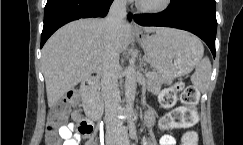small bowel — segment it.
Instances as JSON below:
<instances>
[{
	"label": "small bowel",
	"mask_w": 243,
	"mask_h": 145,
	"mask_svg": "<svg viewBox=\"0 0 243 145\" xmlns=\"http://www.w3.org/2000/svg\"><path fill=\"white\" fill-rule=\"evenodd\" d=\"M81 117V115L78 112H74L72 114L73 122H70L67 125H64L60 131L59 135L64 140L62 145H79V142L82 138V136H88V134H81V133H74L73 129L76 125L77 118ZM146 125L148 127L153 126L154 124V116L151 112H147L145 116ZM143 145H147V142L144 140ZM160 145H176V140L172 135L164 134L160 138Z\"/></svg>",
	"instance_id": "1"
}]
</instances>
